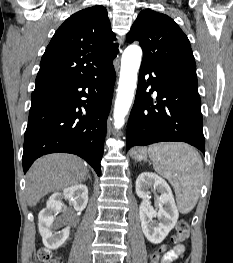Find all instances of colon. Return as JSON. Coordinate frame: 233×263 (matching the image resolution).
I'll return each mask as SVG.
<instances>
[{
  "instance_id": "obj_1",
  "label": "colon",
  "mask_w": 233,
  "mask_h": 263,
  "mask_svg": "<svg viewBox=\"0 0 233 263\" xmlns=\"http://www.w3.org/2000/svg\"><path fill=\"white\" fill-rule=\"evenodd\" d=\"M189 237V225L186 221H180L176 227V233L172 236L171 242L175 245L185 241ZM166 251V245L159 246L150 254L151 263H159L161 255ZM41 263H61L59 257L47 248H40L37 252Z\"/></svg>"
}]
</instances>
